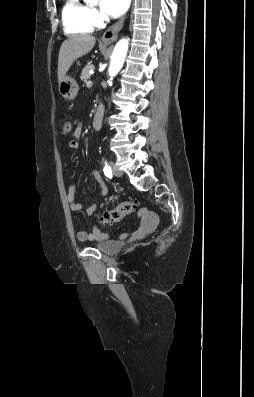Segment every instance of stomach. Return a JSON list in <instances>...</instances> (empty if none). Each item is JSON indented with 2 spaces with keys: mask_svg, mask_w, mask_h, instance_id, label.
<instances>
[{
  "mask_svg": "<svg viewBox=\"0 0 254 397\" xmlns=\"http://www.w3.org/2000/svg\"><path fill=\"white\" fill-rule=\"evenodd\" d=\"M78 90L79 86L77 81L68 75H65L62 81L59 83V93L66 100L75 99Z\"/></svg>",
  "mask_w": 254,
  "mask_h": 397,
  "instance_id": "0dacf381",
  "label": "stomach"
}]
</instances>
